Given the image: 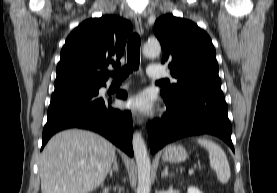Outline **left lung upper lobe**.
I'll use <instances>...</instances> for the list:
<instances>
[{"label": "left lung upper lobe", "instance_id": "1", "mask_svg": "<svg viewBox=\"0 0 277 193\" xmlns=\"http://www.w3.org/2000/svg\"><path fill=\"white\" fill-rule=\"evenodd\" d=\"M154 32L163 58L177 84L161 90L163 98L176 101L186 91L221 86L216 51L208 34L194 22L166 14L156 20Z\"/></svg>", "mask_w": 277, "mask_h": 193}]
</instances>
